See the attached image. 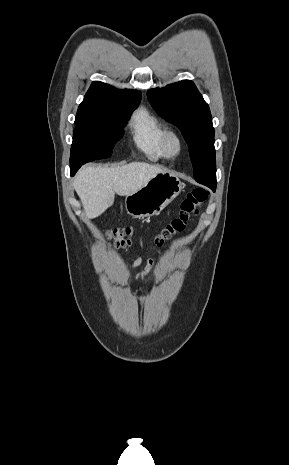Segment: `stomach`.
I'll return each instance as SVG.
<instances>
[{"instance_id": "0dacf381", "label": "stomach", "mask_w": 289, "mask_h": 465, "mask_svg": "<svg viewBox=\"0 0 289 465\" xmlns=\"http://www.w3.org/2000/svg\"><path fill=\"white\" fill-rule=\"evenodd\" d=\"M184 186L175 175L159 173L138 191L126 196V211L134 218L157 215L180 194Z\"/></svg>"}]
</instances>
